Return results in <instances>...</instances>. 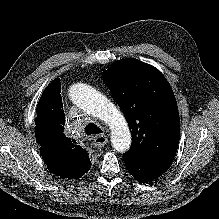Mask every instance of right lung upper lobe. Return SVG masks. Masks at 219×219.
<instances>
[{
    "label": "right lung upper lobe",
    "mask_w": 219,
    "mask_h": 219,
    "mask_svg": "<svg viewBox=\"0 0 219 219\" xmlns=\"http://www.w3.org/2000/svg\"><path fill=\"white\" fill-rule=\"evenodd\" d=\"M58 79L44 90L35 118V135L48 170L61 178H80L91 167L87 151L64 134L65 115Z\"/></svg>",
    "instance_id": "cb5924a9"
}]
</instances>
